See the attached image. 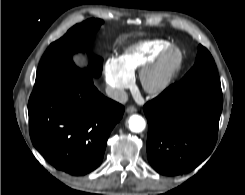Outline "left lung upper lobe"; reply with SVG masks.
<instances>
[{
	"instance_id": "obj_1",
	"label": "left lung upper lobe",
	"mask_w": 245,
	"mask_h": 195,
	"mask_svg": "<svg viewBox=\"0 0 245 195\" xmlns=\"http://www.w3.org/2000/svg\"><path fill=\"white\" fill-rule=\"evenodd\" d=\"M179 84L185 88L222 93L215 62L210 52L202 45H199L194 66Z\"/></svg>"
}]
</instances>
